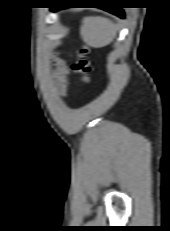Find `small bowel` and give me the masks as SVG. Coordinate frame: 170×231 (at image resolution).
Instances as JSON below:
<instances>
[{
  "label": "small bowel",
  "mask_w": 170,
  "mask_h": 231,
  "mask_svg": "<svg viewBox=\"0 0 170 231\" xmlns=\"http://www.w3.org/2000/svg\"><path fill=\"white\" fill-rule=\"evenodd\" d=\"M58 82H59V86H60L62 92H65L67 87H68L67 70L62 63L60 65V69H59Z\"/></svg>",
  "instance_id": "small-bowel-1"
}]
</instances>
